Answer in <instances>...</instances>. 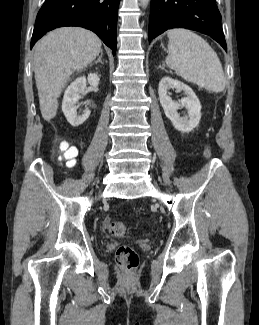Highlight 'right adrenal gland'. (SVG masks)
<instances>
[{"mask_svg": "<svg viewBox=\"0 0 259 325\" xmlns=\"http://www.w3.org/2000/svg\"><path fill=\"white\" fill-rule=\"evenodd\" d=\"M102 56H103V51L101 50V54H100V56L98 57L97 61H95L94 63H92L90 66H93V65H95V64H97V63H99V62H100L101 64H103V62H102V60H101Z\"/></svg>", "mask_w": 259, "mask_h": 325, "instance_id": "obj_1", "label": "right adrenal gland"}]
</instances>
